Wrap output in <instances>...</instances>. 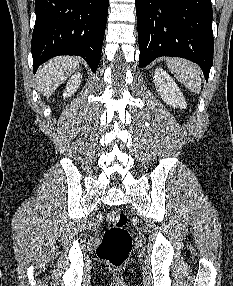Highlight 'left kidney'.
<instances>
[{
  "label": "left kidney",
  "mask_w": 233,
  "mask_h": 286,
  "mask_svg": "<svg viewBox=\"0 0 233 286\" xmlns=\"http://www.w3.org/2000/svg\"><path fill=\"white\" fill-rule=\"evenodd\" d=\"M154 83L156 91L166 104L180 109L186 108L182 92L166 71L157 68L154 73Z\"/></svg>",
  "instance_id": "obj_1"
}]
</instances>
